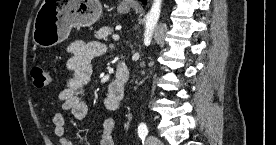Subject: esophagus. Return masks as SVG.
Returning <instances> with one entry per match:
<instances>
[{
  "instance_id": "obj_1",
  "label": "esophagus",
  "mask_w": 276,
  "mask_h": 145,
  "mask_svg": "<svg viewBox=\"0 0 276 145\" xmlns=\"http://www.w3.org/2000/svg\"><path fill=\"white\" fill-rule=\"evenodd\" d=\"M129 3H131V4H135V2H134V1H130Z\"/></svg>"
}]
</instances>
